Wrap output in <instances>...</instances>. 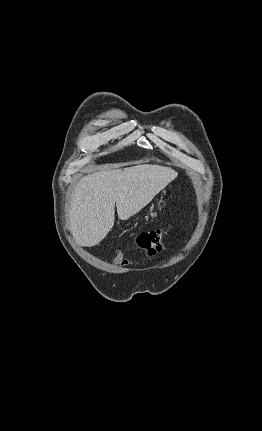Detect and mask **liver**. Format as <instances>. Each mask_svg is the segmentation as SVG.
<instances>
[{
	"mask_svg": "<svg viewBox=\"0 0 262 431\" xmlns=\"http://www.w3.org/2000/svg\"><path fill=\"white\" fill-rule=\"evenodd\" d=\"M177 175L169 167L141 164L83 177L74 189L69 211L70 231L77 244L87 247L99 244L114 225L115 204L119 219L127 220Z\"/></svg>",
	"mask_w": 262,
	"mask_h": 431,
	"instance_id": "1",
	"label": "liver"
}]
</instances>
